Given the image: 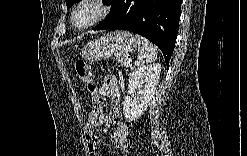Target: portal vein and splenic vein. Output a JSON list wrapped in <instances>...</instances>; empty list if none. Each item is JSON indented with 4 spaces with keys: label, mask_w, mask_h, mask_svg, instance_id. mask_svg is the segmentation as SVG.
I'll return each mask as SVG.
<instances>
[{
    "label": "portal vein and splenic vein",
    "mask_w": 247,
    "mask_h": 156,
    "mask_svg": "<svg viewBox=\"0 0 247 156\" xmlns=\"http://www.w3.org/2000/svg\"><path fill=\"white\" fill-rule=\"evenodd\" d=\"M131 61H132L131 59L128 60V65H130Z\"/></svg>",
    "instance_id": "1"
}]
</instances>
